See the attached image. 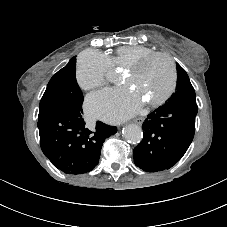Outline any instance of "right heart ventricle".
Masks as SVG:
<instances>
[{"label": "right heart ventricle", "instance_id": "1", "mask_svg": "<svg viewBox=\"0 0 227 227\" xmlns=\"http://www.w3.org/2000/svg\"><path fill=\"white\" fill-rule=\"evenodd\" d=\"M154 52L155 50L150 47L141 45H126L118 47L108 58L113 67L126 70L142 57Z\"/></svg>", "mask_w": 227, "mask_h": 227}]
</instances>
